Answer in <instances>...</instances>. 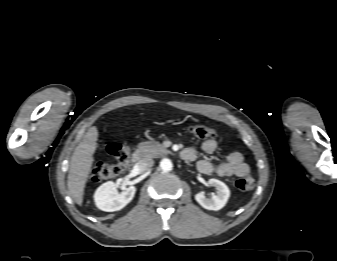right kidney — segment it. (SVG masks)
<instances>
[{
    "label": "right kidney",
    "mask_w": 337,
    "mask_h": 261,
    "mask_svg": "<svg viewBox=\"0 0 337 261\" xmlns=\"http://www.w3.org/2000/svg\"><path fill=\"white\" fill-rule=\"evenodd\" d=\"M135 192L136 188L130 186L119 194L117 192L116 184L112 181H108L96 190L94 201L96 206L102 211H118L133 199Z\"/></svg>",
    "instance_id": "ca27d5eb"
}]
</instances>
